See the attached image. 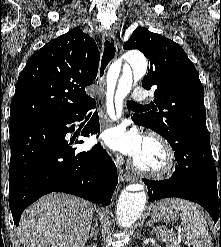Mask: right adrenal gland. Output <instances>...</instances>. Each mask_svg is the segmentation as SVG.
<instances>
[{"label": "right adrenal gland", "mask_w": 221, "mask_h": 247, "mask_svg": "<svg viewBox=\"0 0 221 247\" xmlns=\"http://www.w3.org/2000/svg\"><path fill=\"white\" fill-rule=\"evenodd\" d=\"M98 224L97 222L94 223V227L91 229V232L88 236V238H94L96 239L97 238V235H98Z\"/></svg>", "instance_id": "1"}]
</instances>
